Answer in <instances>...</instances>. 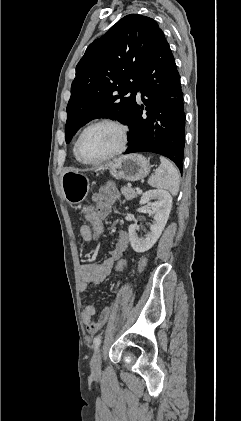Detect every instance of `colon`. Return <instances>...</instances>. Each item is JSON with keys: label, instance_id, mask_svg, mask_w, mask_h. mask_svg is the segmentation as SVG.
Wrapping results in <instances>:
<instances>
[{"label": "colon", "instance_id": "colon-1", "mask_svg": "<svg viewBox=\"0 0 241 421\" xmlns=\"http://www.w3.org/2000/svg\"><path fill=\"white\" fill-rule=\"evenodd\" d=\"M85 219L88 222V226L90 228V239L91 242L98 241L104 232V224L103 220L96 214L95 207L92 205H88L83 210ZM145 265V260L140 261V268H143ZM128 269V262L127 260L120 258L115 261L113 265V270L117 273H124Z\"/></svg>", "mask_w": 241, "mask_h": 421}]
</instances>
